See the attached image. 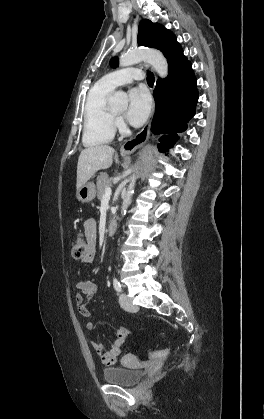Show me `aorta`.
Listing matches in <instances>:
<instances>
[{
	"label": "aorta",
	"mask_w": 264,
	"mask_h": 419,
	"mask_svg": "<svg viewBox=\"0 0 264 419\" xmlns=\"http://www.w3.org/2000/svg\"><path fill=\"white\" fill-rule=\"evenodd\" d=\"M140 61H146L155 69L158 75L161 78H165L168 75V63L162 53L153 49H144V50H132L128 53L121 55L119 60V65L122 67H127L134 65ZM109 104L111 106H123L127 104V95L122 91L115 92L109 99ZM136 182V174L130 178V184L128 186L125 198L123 199V204L121 208V214L124 216L126 210L131 202V197L134 192V186Z\"/></svg>",
	"instance_id": "aorta-1"
}]
</instances>
